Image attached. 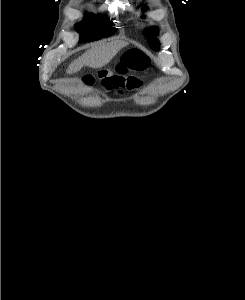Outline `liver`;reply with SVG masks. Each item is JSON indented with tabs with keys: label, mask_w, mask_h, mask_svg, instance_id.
I'll use <instances>...</instances> for the list:
<instances>
[{
	"label": "liver",
	"mask_w": 245,
	"mask_h": 300,
	"mask_svg": "<svg viewBox=\"0 0 245 300\" xmlns=\"http://www.w3.org/2000/svg\"><path fill=\"white\" fill-rule=\"evenodd\" d=\"M126 45L127 43L124 41L95 45L70 64L68 73L73 74L80 71L83 65L92 68H101L107 65L118 51Z\"/></svg>",
	"instance_id": "liver-1"
}]
</instances>
